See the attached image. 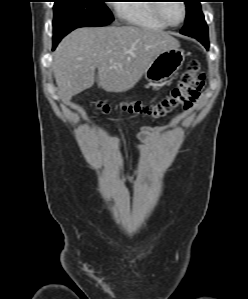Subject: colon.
I'll use <instances>...</instances> for the list:
<instances>
[{"mask_svg": "<svg viewBox=\"0 0 248 299\" xmlns=\"http://www.w3.org/2000/svg\"><path fill=\"white\" fill-rule=\"evenodd\" d=\"M206 76L198 61H192L182 74L179 84L169 95L155 104H144L140 101L123 102L119 104L122 111L146 115L154 119L163 118L176 111L189 110L198 99L205 85ZM97 107L109 112L113 107L104 101H98Z\"/></svg>", "mask_w": 248, "mask_h": 299, "instance_id": "colon-1", "label": "colon"}]
</instances>
